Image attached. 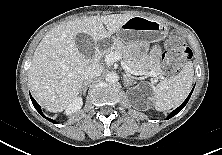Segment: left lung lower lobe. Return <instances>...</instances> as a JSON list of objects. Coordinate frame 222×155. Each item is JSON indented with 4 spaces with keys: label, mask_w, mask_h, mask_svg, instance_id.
Here are the masks:
<instances>
[{
    "label": "left lung lower lobe",
    "mask_w": 222,
    "mask_h": 155,
    "mask_svg": "<svg viewBox=\"0 0 222 155\" xmlns=\"http://www.w3.org/2000/svg\"><path fill=\"white\" fill-rule=\"evenodd\" d=\"M193 91V90H192ZM192 91L191 93L189 94V96L187 97V99L177 108L175 109L174 111H172L166 118L167 119H170L171 117H173L174 115H176L178 112H180V110L187 104L191 94H192Z\"/></svg>",
    "instance_id": "left-lung-lower-lobe-1"
}]
</instances>
